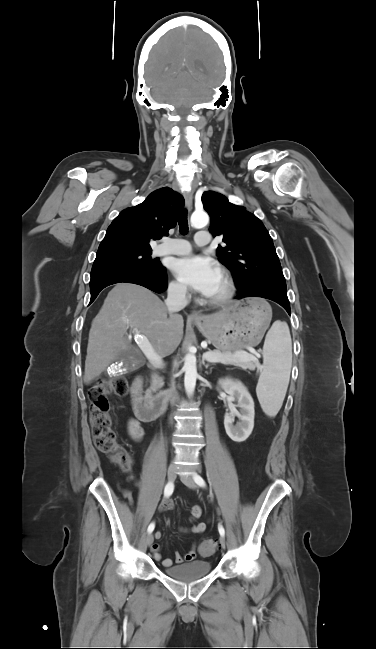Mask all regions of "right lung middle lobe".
Instances as JSON below:
<instances>
[{"label": "right lung middle lobe", "mask_w": 376, "mask_h": 649, "mask_svg": "<svg viewBox=\"0 0 376 649\" xmlns=\"http://www.w3.org/2000/svg\"><path fill=\"white\" fill-rule=\"evenodd\" d=\"M151 251H119L97 254L92 271L113 265L156 268L160 262L150 257Z\"/></svg>", "instance_id": "dd1d6c3e"}]
</instances>
